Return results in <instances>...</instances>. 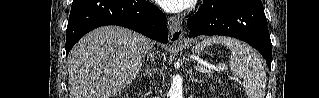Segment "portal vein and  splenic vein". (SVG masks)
I'll return each mask as SVG.
<instances>
[{
    "mask_svg": "<svg viewBox=\"0 0 319 98\" xmlns=\"http://www.w3.org/2000/svg\"><path fill=\"white\" fill-rule=\"evenodd\" d=\"M227 67L224 65H219V66H213L210 64H207L205 62H202L201 65L195 66V69L200 72H206L207 70H216V71H223Z\"/></svg>",
    "mask_w": 319,
    "mask_h": 98,
    "instance_id": "portal-vein-and-splenic-vein-1",
    "label": "portal vein and splenic vein"
}]
</instances>
